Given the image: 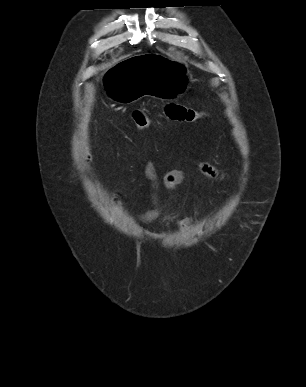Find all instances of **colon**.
<instances>
[{
    "instance_id": "obj_1",
    "label": "colon",
    "mask_w": 306,
    "mask_h": 387,
    "mask_svg": "<svg viewBox=\"0 0 306 387\" xmlns=\"http://www.w3.org/2000/svg\"><path fill=\"white\" fill-rule=\"evenodd\" d=\"M164 113L170 120H182V122H196L203 117V113L176 103H168L164 107ZM132 120L137 130L144 131L149 126V117L144 109H135L132 112Z\"/></svg>"
}]
</instances>
